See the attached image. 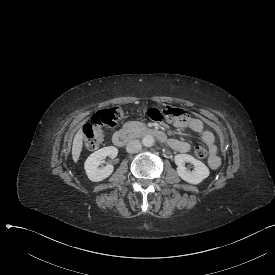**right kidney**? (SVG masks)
<instances>
[{"instance_id":"obj_1","label":"right kidney","mask_w":275,"mask_h":275,"mask_svg":"<svg viewBox=\"0 0 275 275\" xmlns=\"http://www.w3.org/2000/svg\"><path fill=\"white\" fill-rule=\"evenodd\" d=\"M117 148L114 146L104 147L91 154L85 161L84 169L92 182H100L108 178L114 171L113 165H107L103 169L99 166L103 164V159L107 156L113 158L117 155Z\"/></svg>"}]
</instances>
